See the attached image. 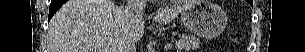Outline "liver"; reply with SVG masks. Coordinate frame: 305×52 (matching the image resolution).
<instances>
[{"mask_svg":"<svg viewBox=\"0 0 305 52\" xmlns=\"http://www.w3.org/2000/svg\"><path fill=\"white\" fill-rule=\"evenodd\" d=\"M192 2L158 11L154 20L169 23ZM143 14L126 22L123 9L111 0H69L53 16L48 30L49 52H117L120 40L137 42L144 34Z\"/></svg>","mask_w":305,"mask_h":52,"instance_id":"6515ba94","label":"liver"}]
</instances>
